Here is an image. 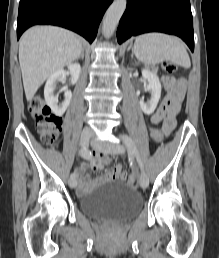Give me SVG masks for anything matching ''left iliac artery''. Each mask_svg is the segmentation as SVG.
<instances>
[{"instance_id":"1","label":"left iliac artery","mask_w":219,"mask_h":258,"mask_svg":"<svg viewBox=\"0 0 219 258\" xmlns=\"http://www.w3.org/2000/svg\"><path fill=\"white\" fill-rule=\"evenodd\" d=\"M123 140H124L125 146L127 147L128 152L136 157L140 168L143 170V163L139 157L138 151L135 147L133 140L128 136H123Z\"/></svg>"}]
</instances>
